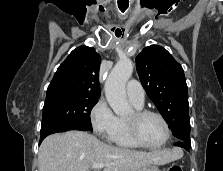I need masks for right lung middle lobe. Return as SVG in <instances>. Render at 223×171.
<instances>
[{"label": "right lung middle lobe", "instance_id": "dd1d6c3e", "mask_svg": "<svg viewBox=\"0 0 223 171\" xmlns=\"http://www.w3.org/2000/svg\"><path fill=\"white\" fill-rule=\"evenodd\" d=\"M99 97L82 95H62L45 100L41 133L62 124L75 123L92 130L90 113Z\"/></svg>", "mask_w": 223, "mask_h": 171}]
</instances>
